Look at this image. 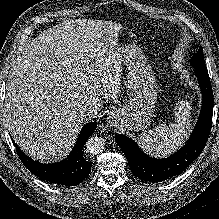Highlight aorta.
I'll return each instance as SVG.
<instances>
[{"label": "aorta", "mask_w": 219, "mask_h": 219, "mask_svg": "<svg viewBox=\"0 0 219 219\" xmlns=\"http://www.w3.org/2000/svg\"><path fill=\"white\" fill-rule=\"evenodd\" d=\"M86 150L91 154H99L105 149V142L102 137L94 136L87 140Z\"/></svg>", "instance_id": "aorta-1"}]
</instances>
